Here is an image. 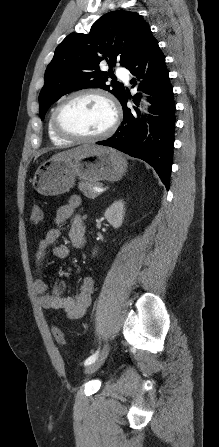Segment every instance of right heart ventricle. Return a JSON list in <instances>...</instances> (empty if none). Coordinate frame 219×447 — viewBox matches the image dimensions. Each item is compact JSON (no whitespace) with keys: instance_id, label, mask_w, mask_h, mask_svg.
Masks as SVG:
<instances>
[{"instance_id":"e07e8e85","label":"right heart ventricle","mask_w":219,"mask_h":447,"mask_svg":"<svg viewBox=\"0 0 219 447\" xmlns=\"http://www.w3.org/2000/svg\"><path fill=\"white\" fill-rule=\"evenodd\" d=\"M47 133H48V137L51 140V142H53L55 144L61 145L64 143L71 142L70 140L64 139L55 133L53 126H52V113L50 114V117L47 122Z\"/></svg>"}]
</instances>
